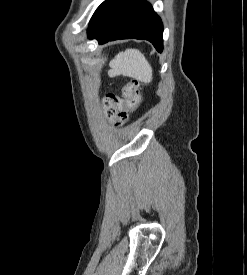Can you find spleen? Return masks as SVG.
<instances>
[{
  "instance_id": "obj_1",
  "label": "spleen",
  "mask_w": 247,
  "mask_h": 275,
  "mask_svg": "<svg viewBox=\"0 0 247 275\" xmlns=\"http://www.w3.org/2000/svg\"><path fill=\"white\" fill-rule=\"evenodd\" d=\"M109 65L111 76H128L143 83L152 81V67L137 49H126L124 52L118 53Z\"/></svg>"
}]
</instances>
